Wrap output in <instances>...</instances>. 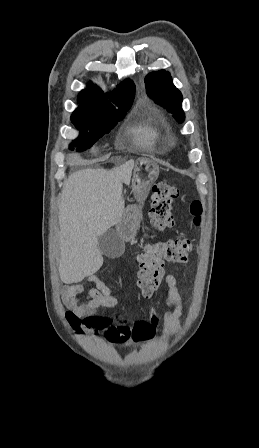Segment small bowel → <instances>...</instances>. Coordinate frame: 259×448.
<instances>
[{
  "mask_svg": "<svg viewBox=\"0 0 259 448\" xmlns=\"http://www.w3.org/2000/svg\"><path fill=\"white\" fill-rule=\"evenodd\" d=\"M88 280L95 284V288L88 291L84 301L79 302L75 297L66 299L70 313L79 319L83 328L94 334L102 331L110 343L127 348L133 346L136 342L144 341L154 336L160 322V316L154 309H151L150 315L146 320L139 321L133 326H128L125 323L115 325L109 318L101 316L98 312L102 308L117 306L119 303L118 299L98 277L92 275ZM165 281L167 285V311L163 315V336L167 337L172 332L178 330L179 320L182 315V299L176 277L168 274L165 277ZM73 289L76 291L81 288L76 287Z\"/></svg>",
  "mask_w": 259,
  "mask_h": 448,
  "instance_id": "obj_1",
  "label": "small bowel"
}]
</instances>
